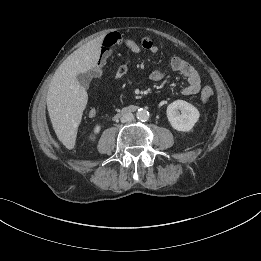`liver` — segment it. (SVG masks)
Segmentation results:
<instances>
[{
    "label": "liver",
    "mask_w": 261,
    "mask_h": 261,
    "mask_svg": "<svg viewBox=\"0 0 261 261\" xmlns=\"http://www.w3.org/2000/svg\"><path fill=\"white\" fill-rule=\"evenodd\" d=\"M103 38H95L74 51L60 65L51 81L47 109L58 139L66 146L74 143L87 104V92L76 76L96 66Z\"/></svg>",
    "instance_id": "1"
}]
</instances>
